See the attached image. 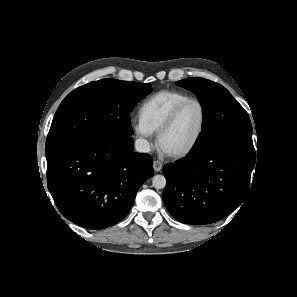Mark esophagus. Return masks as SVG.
<instances>
[{
  "label": "esophagus",
  "mask_w": 297,
  "mask_h": 297,
  "mask_svg": "<svg viewBox=\"0 0 297 297\" xmlns=\"http://www.w3.org/2000/svg\"><path fill=\"white\" fill-rule=\"evenodd\" d=\"M162 163L160 161H154L153 162V168L155 172H160L162 170Z\"/></svg>",
  "instance_id": "1"
}]
</instances>
